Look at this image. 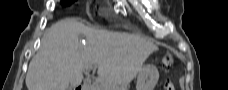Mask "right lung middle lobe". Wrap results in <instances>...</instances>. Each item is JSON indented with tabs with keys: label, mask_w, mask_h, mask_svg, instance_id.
<instances>
[{
	"label": "right lung middle lobe",
	"mask_w": 228,
	"mask_h": 90,
	"mask_svg": "<svg viewBox=\"0 0 228 90\" xmlns=\"http://www.w3.org/2000/svg\"><path fill=\"white\" fill-rule=\"evenodd\" d=\"M72 2H73V0H62V4L64 6H67V5L71 4Z\"/></svg>",
	"instance_id": "right-lung-middle-lobe-1"
}]
</instances>
